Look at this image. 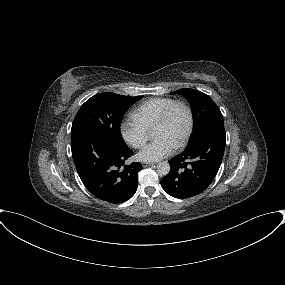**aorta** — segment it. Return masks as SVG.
<instances>
[{
    "instance_id": "obj_1",
    "label": "aorta",
    "mask_w": 285,
    "mask_h": 285,
    "mask_svg": "<svg viewBox=\"0 0 285 285\" xmlns=\"http://www.w3.org/2000/svg\"><path fill=\"white\" fill-rule=\"evenodd\" d=\"M157 171L160 175H167L170 172V165L168 162H160L157 165Z\"/></svg>"
}]
</instances>
